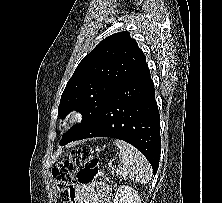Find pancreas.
<instances>
[{
  "label": "pancreas",
  "mask_w": 222,
  "mask_h": 203,
  "mask_svg": "<svg viewBox=\"0 0 222 203\" xmlns=\"http://www.w3.org/2000/svg\"><path fill=\"white\" fill-rule=\"evenodd\" d=\"M111 173L114 174V168L111 169Z\"/></svg>",
  "instance_id": "cf45deb5"
}]
</instances>
